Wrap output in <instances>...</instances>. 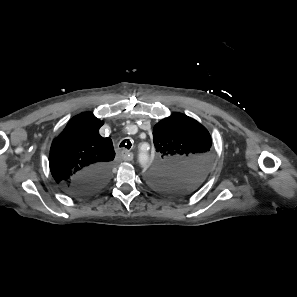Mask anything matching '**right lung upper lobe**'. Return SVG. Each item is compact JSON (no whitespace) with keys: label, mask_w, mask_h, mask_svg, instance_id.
Here are the masks:
<instances>
[{"label":"right lung upper lobe","mask_w":297,"mask_h":297,"mask_svg":"<svg viewBox=\"0 0 297 297\" xmlns=\"http://www.w3.org/2000/svg\"><path fill=\"white\" fill-rule=\"evenodd\" d=\"M103 124L92 113H81L53 141L49 166L57 183L69 188L71 180L82 171L97 165L111 166L115 151L112 140L99 135Z\"/></svg>","instance_id":"obj_1"}]
</instances>
